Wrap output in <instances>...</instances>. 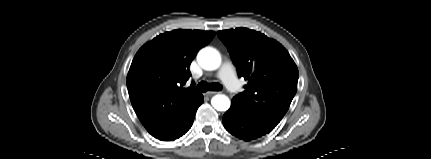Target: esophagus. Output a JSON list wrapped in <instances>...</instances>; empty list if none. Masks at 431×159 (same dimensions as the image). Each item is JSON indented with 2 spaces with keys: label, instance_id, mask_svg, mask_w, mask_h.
<instances>
[{
  "label": "esophagus",
  "instance_id": "obj_1",
  "mask_svg": "<svg viewBox=\"0 0 431 159\" xmlns=\"http://www.w3.org/2000/svg\"><path fill=\"white\" fill-rule=\"evenodd\" d=\"M218 92H216V91H209V92H207L206 93V95L208 96V97H211V96H213V95H215V94H217Z\"/></svg>",
  "mask_w": 431,
  "mask_h": 159
}]
</instances>
